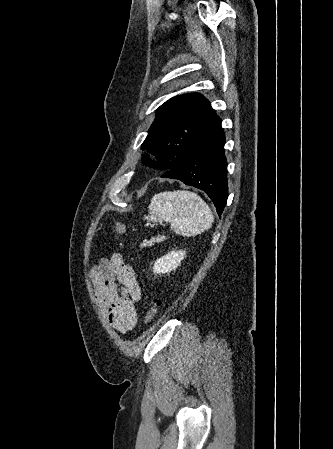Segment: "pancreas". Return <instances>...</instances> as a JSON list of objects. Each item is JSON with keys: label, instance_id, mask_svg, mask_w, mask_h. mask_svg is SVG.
Listing matches in <instances>:
<instances>
[{"label": "pancreas", "instance_id": "obj_1", "mask_svg": "<svg viewBox=\"0 0 333 449\" xmlns=\"http://www.w3.org/2000/svg\"><path fill=\"white\" fill-rule=\"evenodd\" d=\"M164 236H158L157 238L152 237L149 241H145V245L152 246L155 242H161Z\"/></svg>", "mask_w": 333, "mask_h": 449}]
</instances>
